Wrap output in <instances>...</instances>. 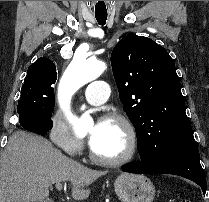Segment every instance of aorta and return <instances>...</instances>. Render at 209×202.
<instances>
[{"instance_id":"762f6f07","label":"aorta","mask_w":209,"mask_h":202,"mask_svg":"<svg viewBox=\"0 0 209 202\" xmlns=\"http://www.w3.org/2000/svg\"><path fill=\"white\" fill-rule=\"evenodd\" d=\"M106 69L103 61L86 59L75 54L59 84V102L65 117L76 134H82L92 124L89 115L77 117L69 108L71 96L86 83L98 78Z\"/></svg>"}]
</instances>
